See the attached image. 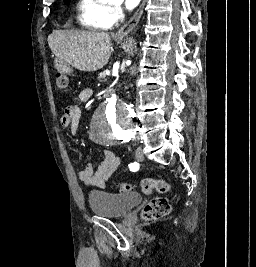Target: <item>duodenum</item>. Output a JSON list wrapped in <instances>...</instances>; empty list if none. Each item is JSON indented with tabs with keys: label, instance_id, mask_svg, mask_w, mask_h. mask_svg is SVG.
Returning <instances> with one entry per match:
<instances>
[{
	"label": "duodenum",
	"instance_id": "1",
	"mask_svg": "<svg viewBox=\"0 0 256 267\" xmlns=\"http://www.w3.org/2000/svg\"><path fill=\"white\" fill-rule=\"evenodd\" d=\"M57 71L60 73H71V68H66V66H57ZM114 89H105V86H102V99H113Z\"/></svg>",
	"mask_w": 256,
	"mask_h": 267
}]
</instances>
